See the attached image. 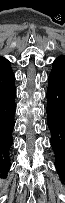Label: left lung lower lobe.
Returning a JSON list of instances; mask_svg holds the SVG:
<instances>
[{"mask_svg": "<svg viewBox=\"0 0 65 203\" xmlns=\"http://www.w3.org/2000/svg\"><path fill=\"white\" fill-rule=\"evenodd\" d=\"M48 127L51 131V146L55 166L62 181L65 180V56L53 62L48 77L47 90Z\"/></svg>", "mask_w": 65, "mask_h": 203, "instance_id": "0a47b994", "label": "left lung lower lobe"}]
</instances>
